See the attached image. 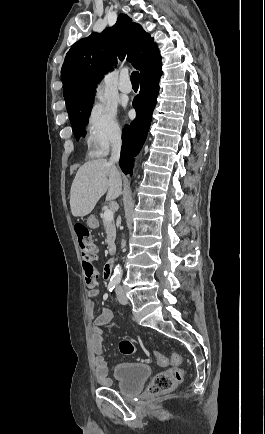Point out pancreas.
<instances>
[{"mask_svg":"<svg viewBox=\"0 0 265 434\" xmlns=\"http://www.w3.org/2000/svg\"><path fill=\"white\" fill-rule=\"evenodd\" d=\"M103 226L107 234L108 250H112V248H115L116 228L112 222H105V220H103Z\"/></svg>","mask_w":265,"mask_h":434,"instance_id":"pancreas-1","label":"pancreas"}]
</instances>
